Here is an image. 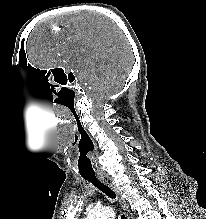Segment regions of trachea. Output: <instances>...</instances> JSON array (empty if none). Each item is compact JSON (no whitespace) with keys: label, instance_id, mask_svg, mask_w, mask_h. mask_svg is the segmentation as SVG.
Instances as JSON below:
<instances>
[{"label":"trachea","instance_id":"obj_1","mask_svg":"<svg viewBox=\"0 0 206 219\" xmlns=\"http://www.w3.org/2000/svg\"><path fill=\"white\" fill-rule=\"evenodd\" d=\"M82 177L92 183L95 187H97L101 192L106 194L109 198L115 199L116 194L113 192V190L108 187L106 184L102 183L95 174H90V175H82ZM121 219H126L125 215H121Z\"/></svg>","mask_w":206,"mask_h":219}]
</instances>
